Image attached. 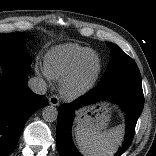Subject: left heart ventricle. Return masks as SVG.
I'll use <instances>...</instances> for the list:
<instances>
[{
  "label": "left heart ventricle",
  "mask_w": 156,
  "mask_h": 156,
  "mask_svg": "<svg viewBox=\"0 0 156 156\" xmlns=\"http://www.w3.org/2000/svg\"><path fill=\"white\" fill-rule=\"evenodd\" d=\"M96 59L89 58L85 66L83 67L82 73L79 78V83L83 84L88 82L94 75L96 71Z\"/></svg>",
  "instance_id": "b2bd125f"
}]
</instances>
